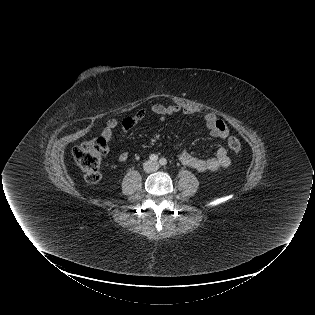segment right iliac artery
Segmentation results:
<instances>
[{"mask_svg":"<svg viewBox=\"0 0 315 315\" xmlns=\"http://www.w3.org/2000/svg\"><path fill=\"white\" fill-rule=\"evenodd\" d=\"M149 159H150L151 161H153V162H156V161L158 160V156L155 155V154H151V155L149 156Z\"/></svg>","mask_w":315,"mask_h":315,"instance_id":"1","label":"right iliac artery"}]
</instances>
